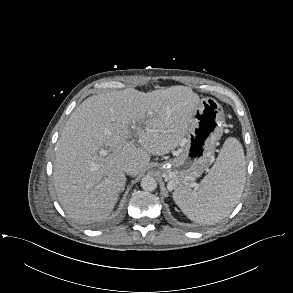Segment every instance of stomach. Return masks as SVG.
Returning a JSON list of instances; mask_svg holds the SVG:
<instances>
[{"label": "stomach", "instance_id": "1", "mask_svg": "<svg viewBox=\"0 0 293 293\" xmlns=\"http://www.w3.org/2000/svg\"><path fill=\"white\" fill-rule=\"evenodd\" d=\"M224 126L222 106L214 98H203L193 114L186 138L174 157L161 166L170 191L187 187L213 163Z\"/></svg>", "mask_w": 293, "mask_h": 293}]
</instances>
